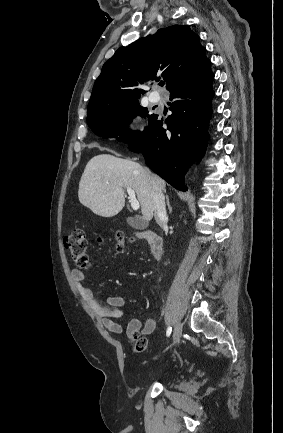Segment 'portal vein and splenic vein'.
<instances>
[{"mask_svg": "<svg viewBox=\"0 0 283 433\" xmlns=\"http://www.w3.org/2000/svg\"><path fill=\"white\" fill-rule=\"evenodd\" d=\"M126 188H127L128 194H129V198H130V202H131V206H132L133 210H138L139 202L135 196L134 190H132V188H130V186H126Z\"/></svg>", "mask_w": 283, "mask_h": 433, "instance_id": "1", "label": "portal vein and splenic vein"}]
</instances>
